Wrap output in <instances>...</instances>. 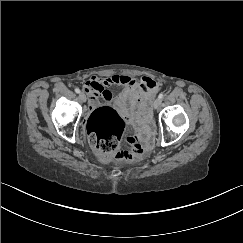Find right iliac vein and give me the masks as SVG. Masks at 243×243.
Returning a JSON list of instances; mask_svg holds the SVG:
<instances>
[{
	"mask_svg": "<svg viewBox=\"0 0 243 243\" xmlns=\"http://www.w3.org/2000/svg\"><path fill=\"white\" fill-rule=\"evenodd\" d=\"M79 97H80L82 102L86 101V95L84 93H80Z\"/></svg>",
	"mask_w": 243,
	"mask_h": 243,
	"instance_id": "right-iliac-vein-1",
	"label": "right iliac vein"
}]
</instances>
